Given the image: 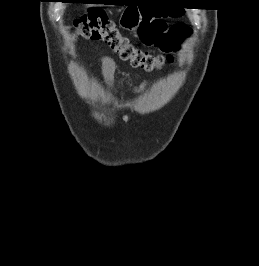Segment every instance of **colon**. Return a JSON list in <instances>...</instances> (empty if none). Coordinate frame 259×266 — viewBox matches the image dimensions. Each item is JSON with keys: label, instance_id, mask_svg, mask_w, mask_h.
<instances>
[{"label": "colon", "instance_id": "1", "mask_svg": "<svg viewBox=\"0 0 259 266\" xmlns=\"http://www.w3.org/2000/svg\"><path fill=\"white\" fill-rule=\"evenodd\" d=\"M138 32L146 44L161 49L166 55H154L134 46L102 9H91L78 18L74 22L72 35L75 38L102 40L121 59L146 71L161 69L166 62L172 61V53L178 51L190 35L187 26L175 24L167 27L157 14L146 15Z\"/></svg>", "mask_w": 259, "mask_h": 266}]
</instances>
